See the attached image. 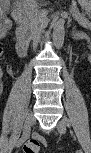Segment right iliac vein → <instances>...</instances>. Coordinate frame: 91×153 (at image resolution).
<instances>
[{"label":"right iliac vein","mask_w":91,"mask_h":153,"mask_svg":"<svg viewBox=\"0 0 91 153\" xmlns=\"http://www.w3.org/2000/svg\"><path fill=\"white\" fill-rule=\"evenodd\" d=\"M35 118L32 113H28L24 121L23 133L30 134V130L34 124Z\"/></svg>","instance_id":"1"}]
</instances>
